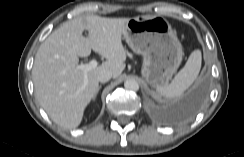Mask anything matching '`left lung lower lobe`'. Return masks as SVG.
Listing matches in <instances>:
<instances>
[{
	"label": "left lung lower lobe",
	"instance_id": "0a47b994",
	"mask_svg": "<svg viewBox=\"0 0 244 157\" xmlns=\"http://www.w3.org/2000/svg\"><path fill=\"white\" fill-rule=\"evenodd\" d=\"M204 98V88L199 87L184 96L177 107V117L187 119L193 116L200 108Z\"/></svg>",
	"mask_w": 244,
	"mask_h": 157
}]
</instances>
